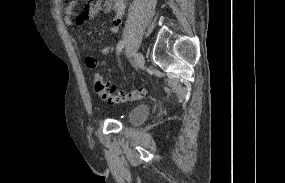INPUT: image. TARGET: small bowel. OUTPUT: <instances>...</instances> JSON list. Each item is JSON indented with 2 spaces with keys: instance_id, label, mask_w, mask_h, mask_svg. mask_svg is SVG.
<instances>
[{
  "instance_id": "c3829d8e",
  "label": "small bowel",
  "mask_w": 285,
  "mask_h": 183,
  "mask_svg": "<svg viewBox=\"0 0 285 183\" xmlns=\"http://www.w3.org/2000/svg\"><path fill=\"white\" fill-rule=\"evenodd\" d=\"M75 3H69L64 9V18L66 23L73 28H80L82 22L88 18H92L98 14L109 13L113 14L109 32L112 35H116L119 31V27L122 22V17L125 10V0H96L85 10V12L78 18L74 19ZM111 50V45L104 47L101 51L103 55H107ZM87 67L97 68L104 65L105 62L99 61L93 56H87L85 58Z\"/></svg>"
}]
</instances>
